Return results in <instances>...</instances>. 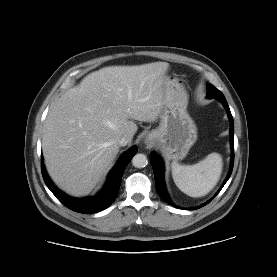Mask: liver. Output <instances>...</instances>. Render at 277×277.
<instances>
[{"label": "liver", "instance_id": "6515ba94", "mask_svg": "<svg viewBox=\"0 0 277 277\" xmlns=\"http://www.w3.org/2000/svg\"><path fill=\"white\" fill-rule=\"evenodd\" d=\"M167 62L109 66L88 74L52 105L42 150L55 184L73 196L92 191L119 152L130 142L134 120L154 122L172 100L166 86Z\"/></svg>", "mask_w": 277, "mask_h": 277}]
</instances>
